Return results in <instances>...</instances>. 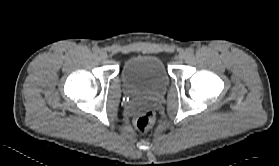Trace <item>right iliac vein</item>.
Returning a JSON list of instances; mask_svg holds the SVG:
<instances>
[{
	"mask_svg": "<svg viewBox=\"0 0 279 166\" xmlns=\"http://www.w3.org/2000/svg\"><path fill=\"white\" fill-rule=\"evenodd\" d=\"M99 56L101 59H106L107 58V53L104 50L99 51Z\"/></svg>",
	"mask_w": 279,
	"mask_h": 166,
	"instance_id": "63e3f726",
	"label": "right iliac vein"
}]
</instances>
